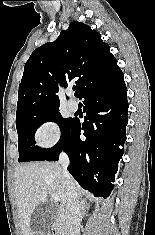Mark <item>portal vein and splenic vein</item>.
I'll list each match as a JSON object with an SVG mask.
<instances>
[{
  "label": "portal vein and splenic vein",
  "instance_id": "18ae733b",
  "mask_svg": "<svg viewBox=\"0 0 155 235\" xmlns=\"http://www.w3.org/2000/svg\"><path fill=\"white\" fill-rule=\"evenodd\" d=\"M52 199L55 200V201H59L60 197L57 194H52Z\"/></svg>",
  "mask_w": 155,
  "mask_h": 235
}]
</instances>
